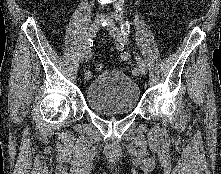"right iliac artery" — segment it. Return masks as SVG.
<instances>
[{
    "label": "right iliac artery",
    "mask_w": 221,
    "mask_h": 174,
    "mask_svg": "<svg viewBox=\"0 0 221 174\" xmlns=\"http://www.w3.org/2000/svg\"><path fill=\"white\" fill-rule=\"evenodd\" d=\"M89 45L88 48V54H87V58L86 61H88L91 58V50L89 47L92 46V40H89ZM84 77L86 80H90L93 77V72L90 69H87L84 73Z\"/></svg>",
    "instance_id": "82829eb1"
}]
</instances>
